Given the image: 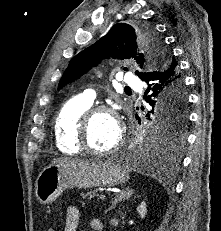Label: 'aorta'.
I'll list each match as a JSON object with an SVG mask.
<instances>
[{"label":"aorta","instance_id":"1","mask_svg":"<svg viewBox=\"0 0 221 231\" xmlns=\"http://www.w3.org/2000/svg\"><path fill=\"white\" fill-rule=\"evenodd\" d=\"M133 161H138L135 157L133 158ZM139 161H145V160H139Z\"/></svg>","mask_w":221,"mask_h":231}]
</instances>
